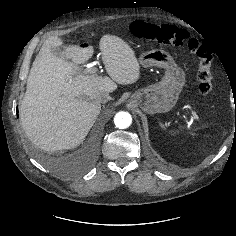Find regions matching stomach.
Listing matches in <instances>:
<instances>
[{
    "mask_svg": "<svg viewBox=\"0 0 236 236\" xmlns=\"http://www.w3.org/2000/svg\"><path fill=\"white\" fill-rule=\"evenodd\" d=\"M139 62L143 67L164 68L165 74L160 82L136 91L129 102L148 114L170 111L177 103L185 84L183 69L168 52L162 49L141 54Z\"/></svg>",
    "mask_w": 236,
    "mask_h": 236,
    "instance_id": "0dacf381",
    "label": "stomach"
}]
</instances>
